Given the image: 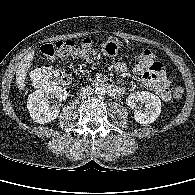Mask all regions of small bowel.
<instances>
[{"mask_svg":"<svg viewBox=\"0 0 195 195\" xmlns=\"http://www.w3.org/2000/svg\"><path fill=\"white\" fill-rule=\"evenodd\" d=\"M114 70L118 73H128L131 71L137 74L139 81L145 86L154 90L163 101L170 100V86L172 81L167 75L165 68L161 73H155L148 71L143 65L139 63H136V65L130 69L127 64L118 62L114 65ZM125 89L126 87L124 85L117 83L114 85V90L111 91V94L114 97H118L124 93Z\"/></svg>","mask_w":195,"mask_h":195,"instance_id":"1","label":"small bowel"}]
</instances>
